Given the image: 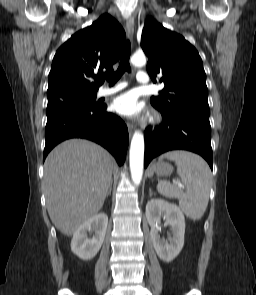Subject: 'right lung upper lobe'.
<instances>
[{"instance_id": "1", "label": "right lung upper lobe", "mask_w": 256, "mask_h": 295, "mask_svg": "<svg viewBox=\"0 0 256 295\" xmlns=\"http://www.w3.org/2000/svg\"><path fill=\"white\" fill-rule=\"evenodd\" d=\"M125 32L110 15L75 33L56 52L48 77V100L70 92H97L102 74L113 72Z\"/></svg>"}]
</instances>
